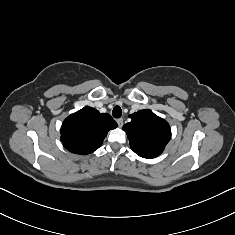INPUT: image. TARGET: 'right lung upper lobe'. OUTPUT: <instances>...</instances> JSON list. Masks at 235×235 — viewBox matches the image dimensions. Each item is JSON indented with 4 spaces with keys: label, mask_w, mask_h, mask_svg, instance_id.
<instances>
[{
    "label": "right lung upper lobe",
    "mask_w": 235,
    "mask_h": 235,
    "mask_svg": "<svg viewBox=\"0 0 235 235\" xmlns=\"http://www.w3.org/2000/svg\"><path fill=\"white\" fill-rule=\"evenodd\" d=\"M117 123L108 113L86 106L68 116L61 127V141L72 153L87 155L97 150Z\"/></svg>",
    "instance_id": "1"
}]
</instances>
